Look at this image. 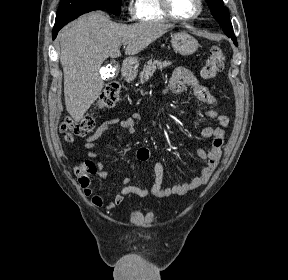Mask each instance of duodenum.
Instances as JSON below:
<instances>
[{
	"mask_svg": "<svg viewBox=\"0 0 288 280\" xmlns=\"http://www.w3.org/2000/svg\"><path fill=\"white\" fill-rule=\"evenodd\" d=\"M122 77L125 81L131 80L134 75V70L128 62H124L122 66Z\"/></svg>",
	"mask_w": 288,
	"mask_h": 280,
	"instance_id": "410a0bca",
	"label": "duodenum"
}]
</instances>
